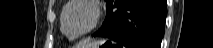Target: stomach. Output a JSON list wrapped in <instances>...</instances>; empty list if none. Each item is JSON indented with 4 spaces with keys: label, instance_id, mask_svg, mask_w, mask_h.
<instances>
[{
    "label": "stomach",
    "instance_id": "stomach-1",
    "mask_svg": "<svg viewBox=\"0 0 213 48\" xmlns=\"http://www.w3.org/2000/svg\"><path fill=\"white\" fill-rule=\"evenodd\" d=\"M106 42H108V41H107V40H104V41H101V42L94 43L93 45L88 46V47H85V48H100V47H102Z\"/></svg>",
    "mask_w": 213,
    "mask_h": 48
}]
</instances>
